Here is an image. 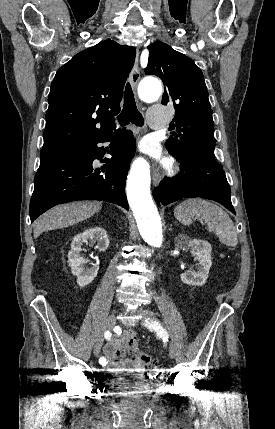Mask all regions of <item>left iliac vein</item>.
Returning <instances> with one entry per match:
<instances>
[{"instance_id": "obj_1", "label": "left iliac vein", "mask_w": 275, "mask_h": 429, "mask_svg": "<svg viewBox=\"0 0 275 429\" xmlns=\"http://www.w3.org/2000/svg\"><path fill=\"white\" fill-rule=\"evenodd\" d=\"M140 314L143 316V317H145V319L147 320V321H152V320H154L155 319V314L152 312V311H150V310H146V309H141L140 310ZM176 346L174 345V344H171L170 345V352H169V355H170V357L171 358H175V356H176Z\"/></svg>"}]
</instances>
